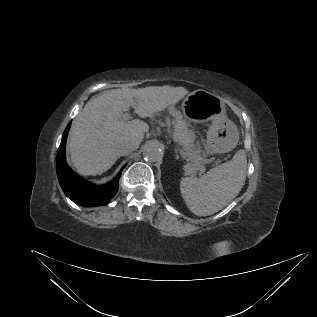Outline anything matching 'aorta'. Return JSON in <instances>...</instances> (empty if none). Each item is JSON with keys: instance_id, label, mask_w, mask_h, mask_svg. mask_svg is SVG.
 <instances>
[{"instance_id": "1", "label": "aorta", "mask_w": 317, "mask_h": 317, "mask_svg": "<svg viewBox=\"0 0 317 317\" xmlns=\"http://www.w3.org/2000/svg\"><path fill=\"white\" fill-rule=\"evenodd\" d=\"M143 156L149 162H156L162 156L160 146L155 142H148L143 149Z\"/></svg>"}]
</instances>
